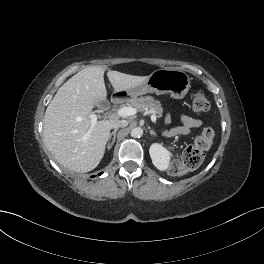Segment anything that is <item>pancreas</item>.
Listing matches in <instances>:
<instances>
[{"mask_svg":"<svg viewBox=\"0 0 264 264\" xmlns=\"http://www.w3.org/2000/svg\"><path fill=\"white\" fill-rule=\"evenodd\" d=\"M127 104L141 112L144 110H149L150 112L157 114L159 118L163 115V108L160 101L155 100L152 96L140 98L134 97L128 100Z\"/></svg>","mask_w":264,"mask_h":264,"instance_id":"cf45deb5","label":"pancreas"}]
</instances>
